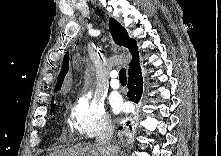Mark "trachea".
I'll return each mask as SVG.
<instances>
[{
  "label": "trachea",
  "mask_w": 221,
  "mask_h": 156,
  "mask_svg": "<svg viewBox=\"0 0 221 156\" xmlns=\"http://www.w3.org/2000/svg\"><path fill=\"white\" fill-rule=\"evenodd\" d=\"M119 80H120V81H126V80H127V77H126V69H125V68H122V69L119 71Z\"/></svg>",
  "instance_id": "obj_1"
}]
</instances>
